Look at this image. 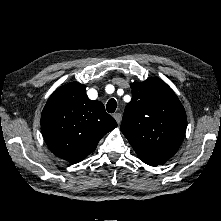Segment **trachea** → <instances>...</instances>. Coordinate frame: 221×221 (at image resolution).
I'll list each match as a JSON object with an SVG mask.
<instances>
[{
  "label": "trachea",
  "instance_id": "trachea-1",
  "mask_svg": "<svg viewBox=\"0 0 221 221\" xmlns=\"http://www.w3.org/2000/svg\"><path fill=\"white\" fill-rule=\"evenodd\" d=\"M117 108V102L115 99L111 98L106 105L107 112L114 113Z\"/></svg>",
  "mask_w": 221,
  "mask_h": 221
}]
</instances>
